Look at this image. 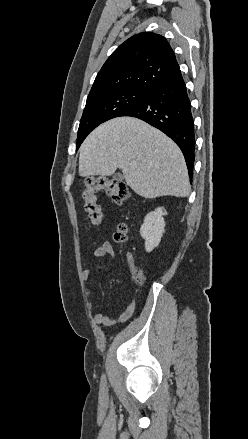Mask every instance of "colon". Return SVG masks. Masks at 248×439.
I'll return each instance as SVG.
<instances>
[{"mask_svg":"<svg viewBox=\"0 0 248 439\" xmlns=\"http://www.w3.org/2000/svg\"><path fill=\"white\" fill-rule=\"evenodd\" d=\"M105 191L111 199L117 204H123L129 198V190L127 186L118 180L108 179L105 177L89 178L86 180V189L83 194L84 209L88 214L91 224L99 227L102 223V211L97 202L96 193ZM117 241L127 240V227L121 224L115 234ZM144 275L142 271H138L135 276L137 283H142Z\"/></svg>","mask_w":248,"mask_h":439,"instance_id":"colon-1","label":"colon"}]
</instances>
